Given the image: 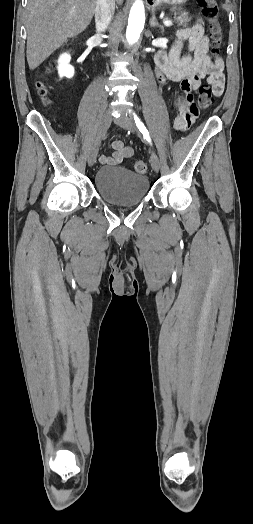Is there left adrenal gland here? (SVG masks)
I'll return each instance as SVG.
<instances>
[{
	"instance_id": "a2214340",
	"label": "left adrenal gland",
	"mask_w": 253,
	"mask_h": 524,
	"mask_svg": "<svg viewBox=\"0 0 253 524\" xmlns=\"http://www.w3.org/2000/svg\"><path fill=\"white\" fill-rule=\"evenodd\" d=\"M150 26L151 27H158L161 30L162 33L164 31V27H163V25H160L158 23L154 11H152V17L150 19Z\"/></svg>"
}]
</instances>
